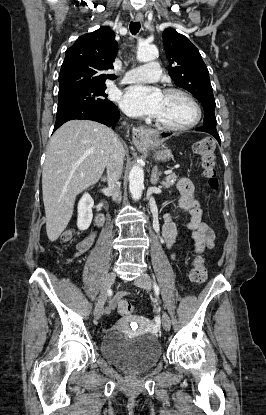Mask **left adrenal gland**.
<instances>
[{"label":"left adrenal gland","instance_id":"1","mask_svg":"<svg viewBox=\"0 0 266 415\" xmlns=\"http://www.w3.org/2000/svg\"><path fill=\"white\" fill-rule=\"evenodd\" d=\"M161 175L160 172H158V167L155 166L152 170L150 181L153 185H156L159 181V176Z\"/></svg>","mask_w":266,"mask_h":415}]
</instances>
